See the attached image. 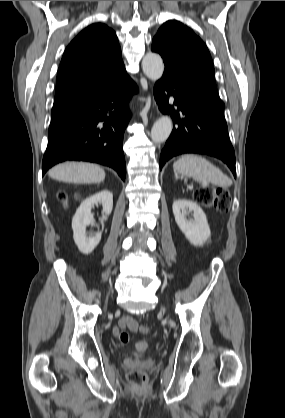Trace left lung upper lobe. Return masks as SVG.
Wrapping results in <instances>:
<instances>
[{"instance_id":"5c2ea615","label":"left lung upper lobe","mask_w":285,"mask_h":418,"mask_svg":"<svg viewBox=\"0 0 285 418\" xmlns=\"http://www.w3.org/2000/svg\"><path fill=\"white\" fill-rule=\"evenodd\" d=\"M152 46L158 48L163 59L217 90L210 53L205 43L190 28L179 21L169 20L158 30Z\"/></svg>"}]
</instances>
